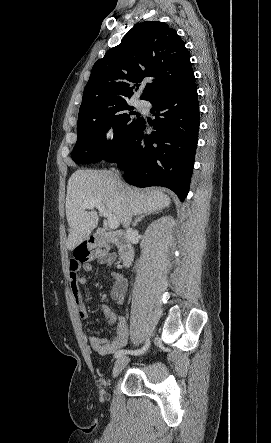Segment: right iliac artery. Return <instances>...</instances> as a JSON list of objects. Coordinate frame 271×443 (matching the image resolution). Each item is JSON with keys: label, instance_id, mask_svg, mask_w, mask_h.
Returning <instances> with one entry per match:
<instances>
[{"label": "right iliac artery", "instance_id": "right-iliac-artery-1", "mask_svg": "<svg viewBox=\"0 0 271 443\" xmlns=\"http://www.w3.org/2000/svg\"><path fill=\"white\" fill-rule=\"evenodd\" d=\"M149 345H150V341H149V339H147L146 340V344L143 346V348H141V349H139V350H118L116 353H115V355H114V357L115 358H119V357H121V356H123V355H126V354H134V355H140V354H143L148 348H149Z\"/></svg>", "mask_w": 271, "mask_h": 443}]
</instances>
